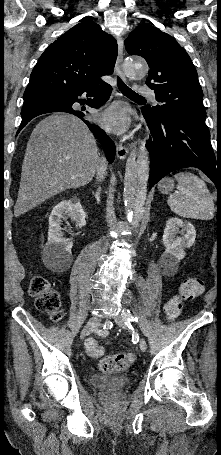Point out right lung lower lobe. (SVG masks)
I'll return each instance as SVG.
<instances>
[{
    "instance_id": "right-lung-lower-lobe-1",
    "label": "right lung lower lobe",
    "mask_w": 221,
    "mask_h": 455,
    "mask_svg": "<svg viewBox=\"0 0 221 455\" xmlns=\"http://www.w3.org/2000/svg\"><path fill=\"white\" fill-rule=\"evenodd\" d=\"M111 91L112 87L109 84L100 79H96L80 84L58 98L38 101L25 105L21 111L22 122L19 127V131L31 119L41 114L51 112H65L73 114L84 121L91 132H93L94 135L100 140L108 161L112 163L116 154V147L113 141L97 125L86 121L83 118L85 114L82 110H76L72 107V105L76 102L80 104L86 102V100L79 99V96L85 95L86 97H89L87 99V104L89 106L99 108L108 100Z\"/></svg>"
}]
</instances>
